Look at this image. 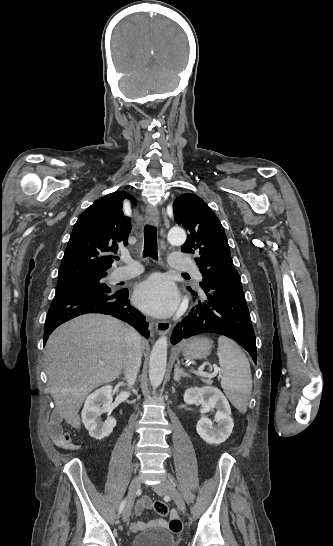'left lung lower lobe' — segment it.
<instances>
[{
	"label": "left lung lower lobe",
	"instance_id": "1",
	"mask_svg": "<svg viewBox=\"0 0 333 546\" xmlns=\"http://www.w3.org/2000/svg\"><path fill=\"white\" fill-rule=\"evenodd\" d=\"M193 295L196 305L176 325L171 343L201 333L220 334L239 343L256 363V338L243 290L202 289Z\"/></svg>",
	"mask_w": 333,
	"mask_h": 546
}]
</instances>
